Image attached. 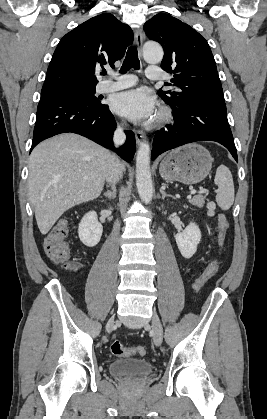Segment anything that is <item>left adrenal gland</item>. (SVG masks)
<instances>
[{
	"label": "left adrenal gland",
	"mask_w": 267,
	"mask_h": 419,
	"mask_svg": "<svg viewBox=\"0 0 267 419\" xmlns=\"http://www.w3.org/2000/svg\"><path fill=\"white\" fill-rule=\"evenodd\" d=\"M160 193L162 195V200H164L166 197H171V198L175 199L173 196H171L169 194H166L163 189H160Z\"/></svg>",
	"instance_id": "left-adrenal-gland-1"
}]
</instances>
